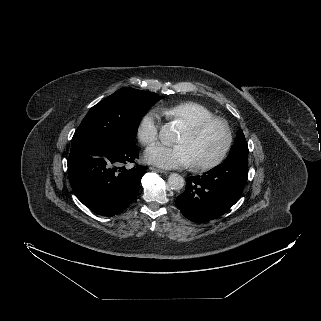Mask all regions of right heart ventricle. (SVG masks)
<instances>
[{"mask_svg": "<svg viewBox=\"0 0 321 321\" xmlns=\"http://www.w3.org/2000/svg\"><path fill=\"white\" fill-rule=\"evenodd\" d=\"M162 113L171 121L180 122L184 127L214 116L210 109L194 101H186L163 108Z\"/></svg>", "mask_w": 321, "mask_h": 321, "instance_id": "right-heart-ventricle-1", "label": "right heart ventricle"}]
</instances>
